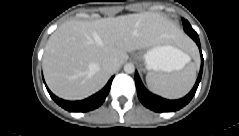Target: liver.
Wrapping results in <instances>:
<instances>
[{
    "label": "liver",
    "mask_w": 239,
    "mask_h": 136,
    "mask_svg": "<svg viewBox=\"0 0 239 136\" xmlns=\"http://www.w3.org/2000/svg\"><path fill=\"white\" fill-rule=\"evenodd\" d=\"M178 25L158 13L144 12L95 21H67L51 35L43 55V72L50 90L66 100H81L99 91L128 52L163 43H185Z\"/></svg>",
    "instance_id": "obj_1"
}]
</instances>
